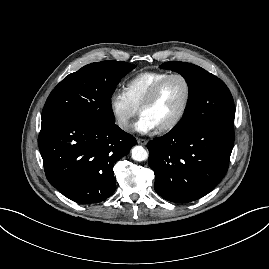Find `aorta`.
<instances>
[{
    "instance_id": "obj_1",
    "label": "aorta",
    "mask_w": 269,
    "mask_h": 269,
    "mask_svg": "<svg viewBox=\"0 0 269 269\" xmlns=\"http://www.w3.org/2000/svg\"><path fill=\"white\" fill-rule=\"evenodd\" d=\"M148 152L142 146H134L131 149V157L135 161H144L148 159Z\"/></svg>"
}]
</instances>
